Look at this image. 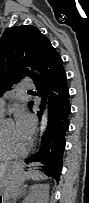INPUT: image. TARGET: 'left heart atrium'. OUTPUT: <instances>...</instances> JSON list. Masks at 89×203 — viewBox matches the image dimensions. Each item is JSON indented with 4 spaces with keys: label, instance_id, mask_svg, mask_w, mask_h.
Segmentation results:
<instances>
[{
    "label": "left heart atrium",
    "instance_id": "1",
    "mask_svg": "<svg viewBox=\"0 0 89 203\" xmlns=\"http://www.w3.org/2000/svg\"><path fill=\"white\" fill-rule=\"evenodd\" d=\"M15 127L20 136L28 140L34 128L33 117L25 111H20L16 115Z\"/></svg>",
    "mask_w": 89,
    "mask_h": 203
}]
</instances>
